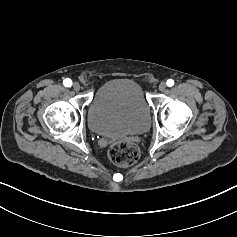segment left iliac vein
I'll list each match as a JSON object with an SVG mask.
<instances>
[{
  "label": "left iliac vein",
  "instance_id": "left-iliac-vein-1",
  "mask_svg": "<svg viewBox=\"0 0 237 237\" xmlns=\"http://www.w3.org/2000/svg\"><path fill=\"white\" fill-rule=\"evenodd\" d=\"M165 89H166V83H165V82H161V83L159 84V90H160L161 92H163V91H165Z\"/></svg>",
  "mask_w": 237,
  "mask_h": 237
}]
</instances>
